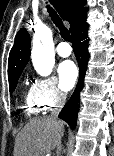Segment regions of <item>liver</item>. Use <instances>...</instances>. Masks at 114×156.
<instances>
[{
    "label": "liver",
    "mask_w": 114,
    "mask_h": 156,
    "mask_svg": "<svg viewBox=\"0 0 114 156\" xmlns=\"http://www.w3.org/2000/svg\"><path fill=\"white\" fill-rule=\"evenodd\" d=\"M64 125L50 117L30 120L16 137L14 156H45L61 145Z\"/></svg>",
    "instance_id": "6515ba94"
}]
</instances>
